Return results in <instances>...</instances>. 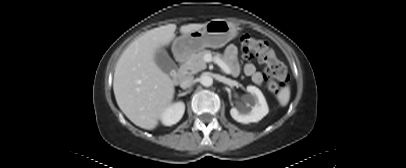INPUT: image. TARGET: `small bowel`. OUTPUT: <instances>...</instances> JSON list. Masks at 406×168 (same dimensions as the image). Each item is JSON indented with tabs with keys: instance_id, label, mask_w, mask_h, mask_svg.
<instances>
[{
	"instance_id": "small-bowel-1",
	"label": "small bowel",
	"mask_w": 406,
	"mask_h": 168,
	"mask_svg": "<svg viewBox=\"0 0 406 168\" xmlns=\"http://www.w3.org/2000/svg\"><path fill=\"white\" fill-rule=\"evenodd\" d=\"M238 49L235 45H229L225 49L224 59L228 65V70L232 75H237L239 72V65L237 63ZM244 73L251 78L255 84L263 82V75L257 71L252 63H247L244 66Z\"/></svg>"
}]
</instances>
